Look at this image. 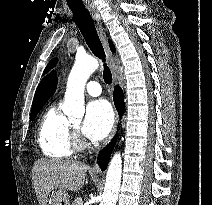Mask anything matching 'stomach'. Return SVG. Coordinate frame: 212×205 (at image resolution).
<instances>
[{
    "label": "stomach",
    "instance_id": "stomach-1",
    "mask_svg": "<svg viewBox=\"0 0 212 205\" xmlns=\"http://www.w3.org/2000/svg\"><path fill=\"white\" fill-rule=\"evenodd\" d=\"M49 205H70L69 198L64 190H58L51 194Z\"/></svg>",
    "mask_w": 212,
    "mask_h": 205
}]
</instances>
